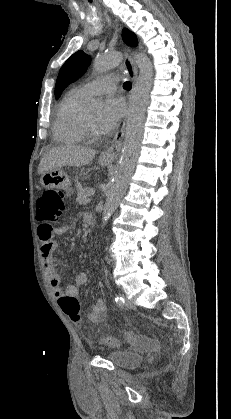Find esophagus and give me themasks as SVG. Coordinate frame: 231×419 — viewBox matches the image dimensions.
Listing matches in <instances>:
<instances>
[{"label": "esophagus", "instance_id": "1", "mask_svg": "<svg viewBox=\"0 0 231 419\" xmlns=\"http://www.w3.org/2000/svg\"><path fill=\"white\" fill-rule=\"evenodd\" d=\"M124 66L133 84H135L138 71H137L135 63L133 62L132 58L130 57L128 53H126L125 55ZM125 125H126V118L123 119V121L120 123L108 149L102 153L103 159L108 160V161H114L119 157L121 149H122V141L124 137Z\"/></svg>", "mask_w": 231, "mask_h": 419}]
</instances>
